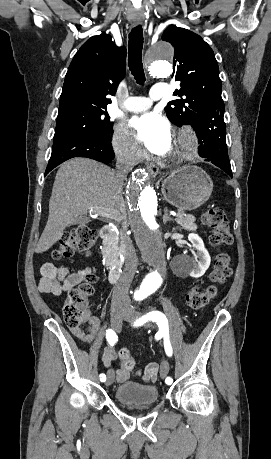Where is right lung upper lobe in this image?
Masks as SVG:
<instances>
[{
    "label": "right lung upper lobe",
    "mask_w": 271,
    "mask_h": 459,
    "mask_svg": "<svg viewBox=\"0 0 271 459\" xmlns=\"http://www.w3.org/2000/svg\"><path fill=\"white\" fill-rule=\"evenodd\" d=\"M126 48L117 47L110 35L87 40L74 56L63 84L59 112L89 108L107 109L118 83L125 76Z\"/></svg>",
    "instance_id": "1"
}]
</instances>
